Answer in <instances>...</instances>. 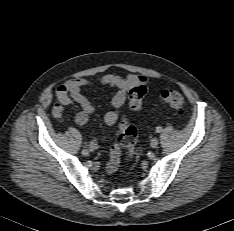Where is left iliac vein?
Instances as JSON below:
<instances>
[{"label":"left iliac vein","mask_w":234,"mask_h":231,"mask_svg":"<svg viewBox=\"0 0 234 231\" xmlns=\"http://www.w3.org/2000/svg\"><path fill=\"white\" fill-rule=\"evenodd\" d=\"M158 144H159V142H158V139H157V138L151 139V141H150V146H151L152 148H156V147L158 146Z\"/></svg>","instance_id":"1"}]
</instances>
